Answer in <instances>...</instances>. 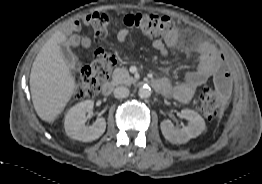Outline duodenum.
Wrapping results in <instances>:
<instances>
[{
    "label": "duodenum",
    "instance_id": "duodenum-1",
    "mask_svg": "<svg viewBox=\"0 0 262 184\" xmlns=\"http://www.w3.org/2000/svg\"><path fill=\"white\" fill-rule=\"evenodd\" d=\"M146 83L149 84L154 89H157L159 87V82L157 81V79H149L147 80ZM113 88H114V83L112 81H108L103 84L102 93L105 96H109L112 93Z\"/></svg>",
    "mask_w": 262,
    "mask_h": 184
}]
</instances>
